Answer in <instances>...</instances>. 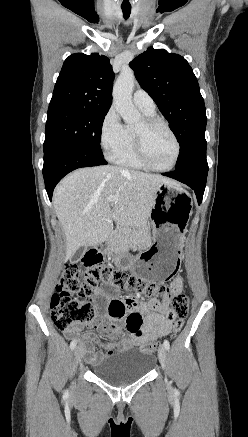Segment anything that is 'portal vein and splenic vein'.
I'll return each mask as SVG.
<instances>
[{
  "label": "portal vein and splenic vein",
  "mask_w": 248,
  "mask_h": 437,
  "mask_svg": "<svg viewBox=\"0 0 248 437\" xmlns=\"http://www.w3.org/2000/svg\"><path fill=\"white\" fill-rule=\"evenodd\" d=\"M108 202L111 203L112 205L115 204L117 202V197L116 196H109L108 197Z\"/></svg>",
  "instance_id": "18ae733b"
}]
</instances>
